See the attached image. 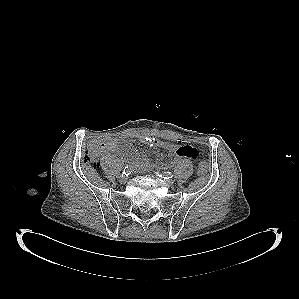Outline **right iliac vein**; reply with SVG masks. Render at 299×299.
Wrapping results in <instances>:
<instances>
[{
    "label": "right iliac vein",
    "instance_id": "obj_1",
    "mask_svg": "<svg viewBox=\"0 0 299 299\" xmlns=\"http://www.w3.org/2000/svg\"><path fill=\"white\" fill-rule=\"evenodd\" d=\"M127 180H128V178H127V176H125V175H121V176L119 177V182H121V183H126Z\"/></svg>",
    "mask_w": 299,
    "mask_h": 299
}]
</instances>
